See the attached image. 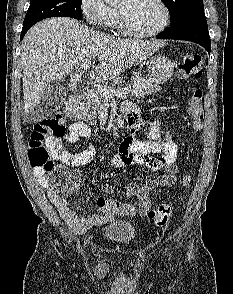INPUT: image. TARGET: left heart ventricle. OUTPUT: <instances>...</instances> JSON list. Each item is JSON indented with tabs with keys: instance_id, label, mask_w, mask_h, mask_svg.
<instances>
[{
	"instance_id": "b2bd125f",
	"label": "left heart ventricle",
	"mask_w": 233,
	"mask_h": 294,
	"mask_svg": "<svg viewBox=\"0 0 233 294\" xmlns=\"http://www.w3.org/2000/svg\"><path fill=\"white\" fill-rule=\"evenodd\" d=\"M130 25L138 31L148 32L163 22V11L155 0H123L119 7Z\"/></svg>"
}]
</instances>
